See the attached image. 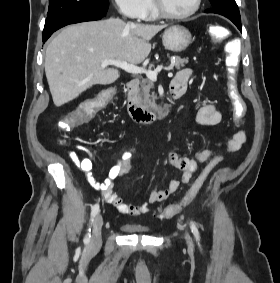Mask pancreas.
Returning <instances> with one entry per match:
<instances>
[{
  "label": "pancreas",
  "mask_w": 280,
  "mask_h": 283,
  "mask_svg": "<svg viewBox=\"0 0 280 283\" xmlns=\"http://www.w3.org/2000/svg\"><path fill=\"white\" fill-rule=\"evenodd\" d=\"M171 61H174L167 70H173L174 68L180 69L185 66L186 63H188V58H181L180 56H175L173 59L172 57H169ZM153 66V64H150V68ZM140 93H139V99L141 106L146 110H155L157 108V105L155 103L157 96L154 89V83L149 78H143L140 83Z\"/></svg>",
  "instance_id": "obj_1"
}]
</instances>
